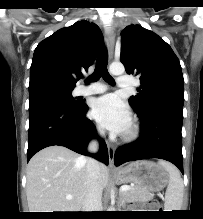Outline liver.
I'll list each match as a JSON object with an SVG mask.
<instances>
[{"label":"liver","mask_w":203,"mask_h":219,"mask_svg":"<svg viewBox=\"0 0 203 219\" xmlns=\"http://www.w3.org/2000/svg\"><path fill=\"white\" fill-rule=\"evenodd\" d=\"M87 158L63 146L36 153L27 166L26 194L30 212H79L87 195ZM98 183L108 184V169L99 163ZM67 195H72L70 200Z\"/></svg>","instance_id":"1"}]
</instances>
